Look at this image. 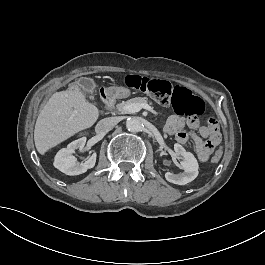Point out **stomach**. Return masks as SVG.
Wrapping results in <instances>:
<instances>
[{"label":"stomach","mask_w":265,"mask_h":265,"mask_svg":"<svg viewBox=\"0 0 265 265\" xmlns=\"http://www.w3.org/2000/svg\"><path fill=\"white\" fill-rule=\"evenodd\" d=\"M113 90L115 91L114 94L115 95H118V92H122V91H125V95H128L129 91L127 89H124V88H113V89H110L111 92H113Z\"/></svg>","instance_id":"1"}]
</instances>
